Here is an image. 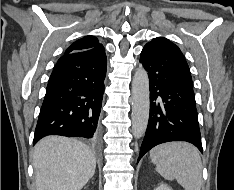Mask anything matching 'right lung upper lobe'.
<instances>
[{
    "mask_svg": "<svg viewBox=\"0 0 234 190\" xmlns=\"http://www.w3.org/2000/svg\"><path fill=\"white\" fill-rule=\"evenodd\" d=\"M103 49L104 47L102 44L99 43L98 39L94 36H85L74 43H72L67 50L65 51L64 55L75 53V52H80V51H85V50H90V49Z\"/></svg>",
    "mask_w": 234,
    "mask_h": 190,
    "instance_id": "1",
    "label": "right lung upper lobe"
}]
</instances>
